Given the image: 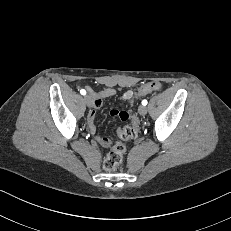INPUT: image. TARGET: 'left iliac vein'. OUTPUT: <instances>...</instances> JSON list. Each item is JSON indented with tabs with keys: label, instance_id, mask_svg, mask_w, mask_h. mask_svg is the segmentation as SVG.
<instances>
[{
	"label": "left iliac vein",
	"instance_id": "left-iliac-vein-1",
	"mask_svg": "<svg viewBox=\"0 0 231 231\" xmlns=\"http://www.w3.org/2000/svg\"><path fill=\"white\" fill-rule=\"evenodd\" d=\"M139 113H140L141 115H145V114L147 113V107L144 106V105H141V106L139 107Z\"/></svg>",
	"mask_w": 231,
	"mask_h": 231
}]
</instances>
